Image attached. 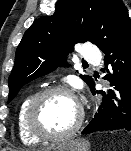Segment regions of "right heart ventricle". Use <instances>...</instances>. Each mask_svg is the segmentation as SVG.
<instances>
[{
	"instance_id": "right-heart-ventricle-1",
	"label": "right heart ventricle",
	"mask_w": 131,
	"mask_h": 151,
	"mask_svg": "<svg viewBox=\"0 0 131 151\" xmlns=\"http://www.w3.org/2000/svg\"><path fill=\"white\" fill-rule=\"evenodd\" d=\"M33 96H34V93H28L22 99L19 105L18 111H17L16 125H17L18 135L21 141L26 145H34L39 142L38 139L30 135L25 125L26 110Z\"/></svg>"
}]
</instances>
